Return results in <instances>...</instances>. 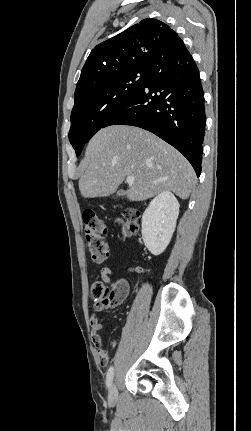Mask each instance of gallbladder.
<instances>
[{"label":"gallbladder","mask_w":251,"mask_h":431,"mask_svg":"<svg viewBox=\"0 0 251 431\" xmlns=\"http://www.w3.org/2000/svg\"><path fill=\"white\" fill-rule=\"evenodd\" d=\"M117 195H119V196H123V195H125V191H124V190H119V191L117 192Z\"/></svg>","instance_id":"obj_1"}]
</instances>
